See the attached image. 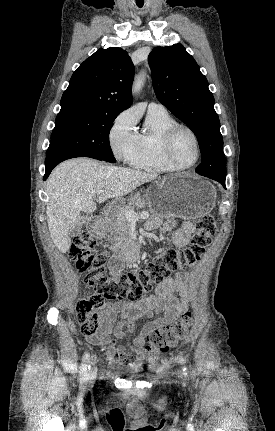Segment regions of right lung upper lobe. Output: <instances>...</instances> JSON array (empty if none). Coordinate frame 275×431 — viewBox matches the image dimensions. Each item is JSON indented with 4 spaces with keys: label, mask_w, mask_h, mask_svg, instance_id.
I'll use <instances>...</instances> for the list:
<instances>
[{
    "label": "right lung upper lobe",
    "mask_w": 275,
    "mask_h": 431,
    "mask_svg": "<svg viewBox=\"0 0 275 431\" xmlns=\"http://www.w3.org/2000/svg\"><path fill=\"white\" fill-rule=\"evenodd\" d=\"M134 65L121 48L98 49L73 73L59 114L78 111L120 113L132 104Z\"/></svg>",
    "instance_id": "1"
}]
</instances>
